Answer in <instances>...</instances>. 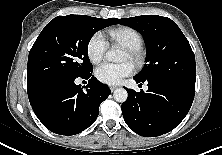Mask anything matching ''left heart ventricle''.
Returning <instances> with one entry per match:
<instances>
[{"label": "left heart ventricle", "mask_w": 222, "mask_h": 155, "mask_svg": "<svg viewBox=\"0 0 222 155\" xmlns=\"http://www.w3.org/2000/svg\"><path fill=\"white\" fill-rule=\"evenodd\" d=\"M124 59H129L127 53H125Z\"/></svg>", "instance_id": "obj_1"}]
</instances>
